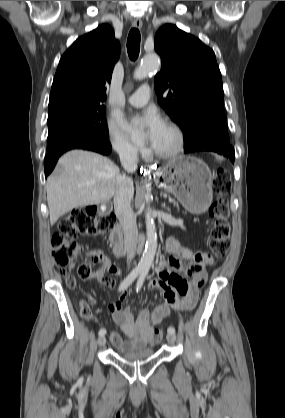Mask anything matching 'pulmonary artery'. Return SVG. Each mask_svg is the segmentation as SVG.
Wrapping results in <instances>:
<instances>
[{"label": "pulmonary artery", "mask_w": 285, "mask_h": 418, "mask_svg": "<svg viewBox=\"0 0 285 418\" xmlns=\"http://www.w3.org/2000/svg\"><path fill=\"white\" fill-rule=\"evenodd\" d=\"M150 97V89L147 86H141L134 94L128 98V103L139 107L147 103Z\"/></svg>", "instance_id": "e3ab8cb5"}]
</instances>
